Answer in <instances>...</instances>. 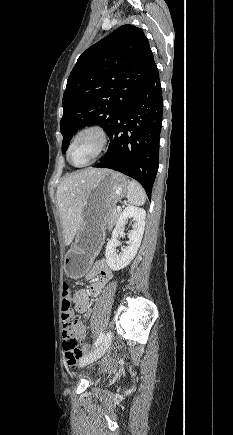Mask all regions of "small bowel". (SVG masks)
Returning a JSON list of instances; mask_svg holds the SVG:
<instances>
[{
  "instance_id": "c3829d8e",
  "label": "small bowel",
  "mask_w": 233,
  "mask_h": 435,
  "mask_svg": "<svg viewBox=\"0 0 233 435\" xmlns=\"http://www.w3.org/2000/svg\"><path fill=\"white\" fill-rule=\"evenodd\" d=\"M86 278L91 280V284L85 288L77 289L72 294L71 301L74 305L75 312L89 316L91 298L98 297L102 289L112 278V273L108 268L106 260L103 258L97 260L90 271L86 274ZM62 326L63 329L69 326H75L82 338H85L87 335V327L81 320L63 317ZM82 350L85 351L86 347L83 346Z\"/></svg>"
}]
</instances>
